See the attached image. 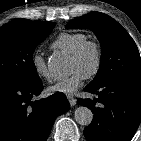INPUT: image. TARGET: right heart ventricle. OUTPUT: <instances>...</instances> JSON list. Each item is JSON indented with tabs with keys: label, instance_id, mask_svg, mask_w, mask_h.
<instances>
[{
	"label": "right heart ventricle",
	"instance_id": "right-heart-ventricle-1",
	"mask_svg": "<svg viewBox=\"0 0 141 141\" xmlns=\"http://www.w3.org/2000/svg\"><path fill=\"white\" fill-rule=\"evenodd\" d=\"M86 39L83 33H62L52 43V48L72 54Z\"/></svg>",
	"mask_w": 141,
	"mask_h": 141
}]
</instances>
